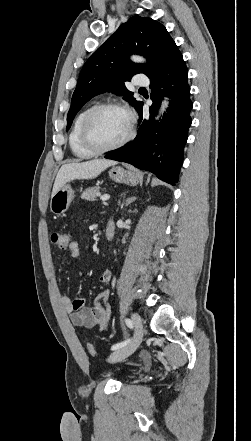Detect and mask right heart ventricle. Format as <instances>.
Listing matches in <instances>:
<instances>
[{
	"label": "right heart ventricle",
	"instance_id": "e07e8e85",
	"mask_svg": "<svg viewBox=\"0 0 251 441\" xmlns=\"http://www.w3.org/2000/svg\"><path fill=\"white\" fill-rule=\"evenodd\" d=\"M90 108H85L82 111L78 113L76 116L71 131L69 133V146L71 149L72 154L78 158V159H89L94 156V154L90 151H88L86 148L83 147V145L80 142V126L82 119L85 115V113Z\"/></svg>",
	"mask_w": 251,
	"mask_h": 441
}]
</instances>
